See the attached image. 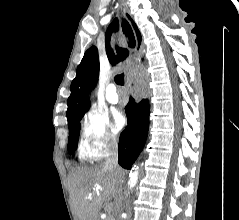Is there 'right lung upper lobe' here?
Instances as JSON below:
<instances>
[{"label": "right lung upper lobe", "instance_id": "right-lung-upper-lobe-1", "mask_svg": "<svg viewBox=\"0 0 239 220\" xmlns=\"http://www.w3.org/2000/svg\"><path fill=\"white\" fill-rule=\"evenodd\" d=\"M128 18L132 22L133 28L136 33V37L138 39V43L140 44L141 42L140 31L138 30L133 20L129 16ZM118 28L119 23L118 20L115 19L108 27L105 37L106 53L109 61L112 64H116L119 61L124 60L128 55V51L126 49L116 47L117 56H115L112 48L110 47L109 42L111 34L113 31H117ZM76 73L77 75L71 83L70 87L71 95L69 96L67 102L68 124H70L80 116L84 115L89 110L90 100L88 98V91L91 88L95 87L99 76V58L98 51L95 46L89 48L85 52L84 57L81 60V63L77 67Z\"/></svg>", "mask_w": 239, "mask_h": 220}]
</instances>
